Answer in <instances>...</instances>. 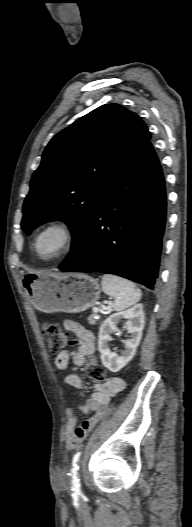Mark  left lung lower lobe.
Listing matches in <instances>:
<instances>
[{
    "mask_svg": "<svg viewBox=\"0 0 192 527\" xmlns=\"http://www.w3.org/2000/svg\"><path fill=\"white\" fill-rule=\"evenodd\" d=\"M165 222L164 177L149 142L110 185L59 269L115 274L153 289Z\"/></svg>",
    "mask_w": 192,
    "mask_h": 527,
    "instance_id": "left-lung-lower-lobe-1",
    "label": "left lung lower lobe"
}]
</instances>
